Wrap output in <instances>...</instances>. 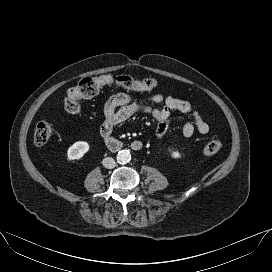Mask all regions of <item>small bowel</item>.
<instances>
[{
	"mask_svg": "<svg viewBox=\"0 0 272 272\" xmlns=\"http://www.w3.org/2000/svg\"><path fill=\"white\" fill-rule=\"evenodd\" d=\"M150 100L163 107L156 108L148 104L136 102L130 95L120 93L111 97L104 106V122L100 134L104 138L110 136L114 128L137 113H146L152 116L157 126L155 134L163 137L172 121L183 122L182 133L186 138L193 136L195 131L202 135L209 132V126L200 113L186 100L162 94H153ZM172 111L178 114L174 115ZM189 115V118L186 116Z\"/></svg>",
	"mask_w": 272,
	"mask_h": 272,
	"instance_id": "c3829d8e",
	"label": "small bowel"
}]
</instances>
